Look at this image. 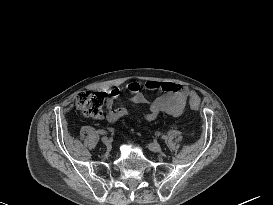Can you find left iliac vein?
Here are the masks:
<instances>
[{
  "label": "left iliac vein",
  "instance_id": "left-iliac-vein-1",
  "mask_svg": "<svg viewBox=\"0 0 273 205\" xmlns=\"http://www.w3.org/2000/svg\"><path fill=\"white\" fill-rule=\"evenodd\" d=\"M149 149L154 152H159L161 151L162 147L159 143L152 142V143H149Z\"/></svg>",
  "mask_w": 273,
  "mask_h": 205
}]
</instances>
